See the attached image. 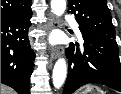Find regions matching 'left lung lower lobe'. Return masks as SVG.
Listing matches in <instances>:
<instances>
[{
  "label": "left lung lower lobe",
  "mask_w": 121,
  "mask_h": 94,
  "mask_svg": "<svg viewBox=\"0 0 121 94\" xmlns=\"http://www.w3.org/2000/svg\"><path fill=\"white\" fill-rule=\"evenodd\" d=\"M81 33L84 52L79 48L75 50L73 43L65 51L69 66L63 94H72L89 83L103 84L121 92V63L116 40Z\"/></svg>",
  "instance_id": "left-lung-lower-lobe-1"
}]
</instances>
